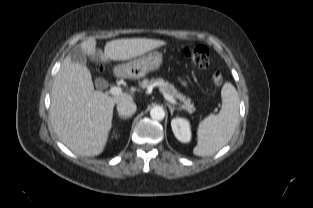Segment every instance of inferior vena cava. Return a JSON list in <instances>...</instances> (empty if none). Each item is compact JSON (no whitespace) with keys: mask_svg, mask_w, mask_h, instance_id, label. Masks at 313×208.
<instances>
[{"mask_svg":"<svg viewBox=\"0 0 313 208\" xmlns=\"http://www.w3.org/2000/svg\"><path fill=\"white\" fill-rule=\"evenodd\" d=\"M117 111L120 115L132 116L136 112V104L130 100L118 102Z\"/></svg>","mask_w":313,"mask_h":208,"instance_id":"inferior-vena-cava-1","label":"inferior vena cava"}]
</instances>
